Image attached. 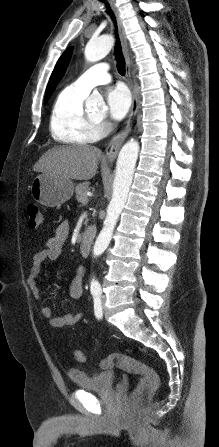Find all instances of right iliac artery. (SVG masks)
<instances>
[{"instance_id": "obj_1", "label": "right iliac artery", "mask_w": 219, "mask_h": 447, "mask_svg": "<svg viewBox=\"0 0 219 447\" xmlns=\"http://www.w3.org/2000/svg\"><path fill=\"white\" fill-rule=\"evenodd\" d=\"M93 299H94V312H95L96 318L101 319L103 316V311H102L100 294L94 293Z\"/></svg>"}]
</instances>
